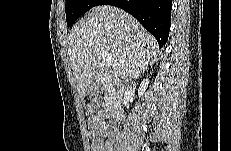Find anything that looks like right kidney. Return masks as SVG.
Instances as JSON below:
<instances>
[{"label":"right kidney","mask_w":231,"mask_h":151,"mask_svg":"<svg viewBox=\"0 0 231 151\" xmlns=\"http://www.w3.org/2000/svg\"><path fill=\"white\" fill-rule=\"evenodd\" d=\"M148 84H149V79H145V80H143L141 82L140 87L138 89V95H139V97H141L144 94V92H145Z\"/></svg>","instance_id":"1"}]
</instances>
